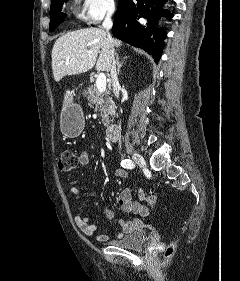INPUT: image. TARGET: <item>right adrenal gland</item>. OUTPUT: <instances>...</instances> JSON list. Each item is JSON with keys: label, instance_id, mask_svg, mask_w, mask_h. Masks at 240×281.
I'll return each mask as SVG.
<instances>
[{"label": "right adrenal gland", "instance_id": "obj_1", "mask_svg": "<svg viewBox=\"0 0 240 281\" xmlns=\"http://www.w3.org/2000/svg\"><path fill=\"white\" fill-rule=\"evenodd\" d=\"M124 59H127V57H125ZM116 64H117V72L119 74L120 73V68L122 66V61H119V55L118 54L116 56Z\"/></svg>", "mask_w": 240, "mask_h": 281}]
</instances>
